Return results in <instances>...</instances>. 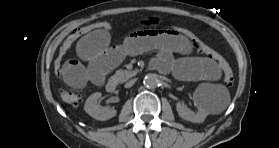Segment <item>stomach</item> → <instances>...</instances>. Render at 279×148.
<instances>
[{"label":"stomach","mask_w":279,"mask_h":148,"mask_svg":"<svg viewBox=\"0 0 279 148\" xmlns=\"http://www.w3.org/2000/svg\"><path fill=\"white\" fill-rule=\"evenodd\" d=\"M133 25L139 31H161L166 27L167 20L158 13L139 14L134 18Z\"/></svg>","instance_id":"obj_1"}]
</instances>
